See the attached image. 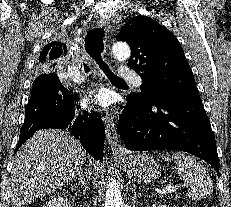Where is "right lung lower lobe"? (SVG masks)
Segmentation results:
<instances>
[{"mask_svg": "<svg viewBox=\"0 0 231 207\" xmlns=\"http://www.w3.org/2000/svg\"><path fill=\"white\" fill-rule=\"evenodd\" d=\"M77 101L78 95L66 89L56 74L38 76L32 84L31 98L25 108V120L15 152L37 130L68 128L90 155L102 160L103 121L96 112L80 111Z\"/></svg>", "mask_w": 231, "mask_h": 207, "instance_id": "obj_1", "label": "right lung lower lobe"}]
</instances>
